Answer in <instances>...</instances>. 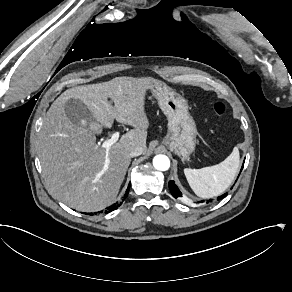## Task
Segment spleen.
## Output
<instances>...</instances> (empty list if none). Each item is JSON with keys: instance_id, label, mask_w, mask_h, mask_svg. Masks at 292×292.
I'll list each match as a JSON object with an SVG mask.
<instances>
[{"instance_id": "3e777b00", "label": "spleen", "mask_w": 292, "mask_h": 292, "mask_svg": "<svg viewBox=\"0 0 292 292\" xmlns=\"http://www.w3.org/2000/svg\"><path fill=\"white\" fill-rule=\"evenodd\" d=\"M240 164L238 148L221 163L201 169L185 168L184 174L194 191L201 198H212L223 193L234 181Z\"/></svg>"}]
</instances>
